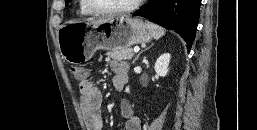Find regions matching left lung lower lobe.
<instances>
[{"label":"left lung lower lobe","instance_id":"0a47b994","mask_svg":"<svg viewBox=\"0 0 257 130\" xmlns=\"http://www.w3.org/2000/svg\"><path fill=\"white\" fill-rule=\"evenodd\" d=\"M201 0H149L134 15L175 30L191 48L199 20Z\"/></svg>","mask_w":257,"mask_h":130}]
</instances>
